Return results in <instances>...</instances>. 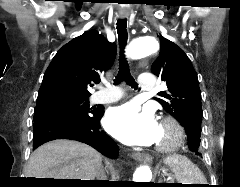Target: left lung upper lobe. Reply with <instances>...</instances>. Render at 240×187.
Returning <instances> with one entry per match:
<instances>
[{"mask_svg":"<svg viewBox=\"0 0 240 187\" xmlns=\"http://www.w3.org/2000/svg\"><path fill=\"white\" fill-rule=\"evenodd\" d=\"M161 52L151 67L168 87L158 93L156 100L184 126L187 134L196 135L192 151L200 146L202 107L197 73L186 53L160 34Z\"/></svg>","mask_w":240,"mask_h":187,"instance_id":"1","label":"left lung upper lobe"}]
</instances>
